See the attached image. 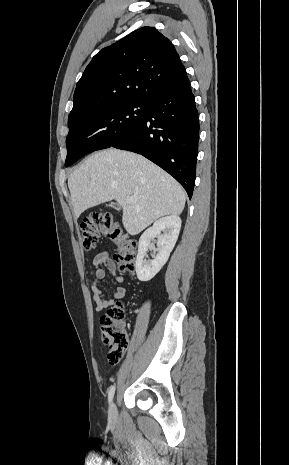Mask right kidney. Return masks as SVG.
Returning a JSON list of instances; mask_svg holds the SVG:
<instances>
[{
    "mask_svg": "<svg viewBox=\"0 0 289 465\" xmlns=\"http://www.w3.org/2000/svg\"><path fill=\"white\" fill-rule=\"evenodd\" d=\"M181 228L179 216L162 217L148 228L139 239L136 258V274L140 281L151 280L165 265L177 241ZM158 238L156 254L152 260H145L147 251L153 249V240Z\"/></svg>",
    "mask_w": 289,
    "mask_h": 465,
    "instance_id": "right-kidney-1",
    "label": "right kidney"
}]
</instances>
